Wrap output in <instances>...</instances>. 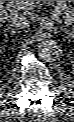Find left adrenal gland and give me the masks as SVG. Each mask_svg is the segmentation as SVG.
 Listing matches in <instances>:
<instances>
[{
	"label": "left adrenal gland",
	"instance_id": "1",
	"mask_svg": "<svg viewBox=\"0 0 74 122\" xmlns=\"http://www.w3.org/2000/svg\"><path fill=\"white\" fill-rule=\"evenodd\" d=\"M64 29H65L66 33L69 34V30L67 29V27H65Z\"/></svg>",
	"mask_w": 74,
	"mask_h": 122
}]
</instances>
